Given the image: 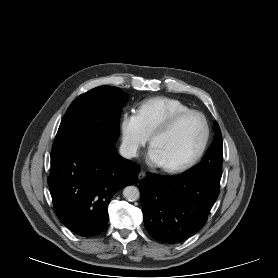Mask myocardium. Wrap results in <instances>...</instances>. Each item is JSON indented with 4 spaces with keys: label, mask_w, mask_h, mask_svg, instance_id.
I'll return each mask as SVG.
<instances>
[{
    "label": "myocardium",
    "mask_w": 278,
    "mask_h": 278,
    "mask_svg": "<svg viewBox=\"0 0 278 278\" xmlns=\"http://www.w3.org/2000/svg\"><path fill=\"white\" fill-rule=\"evenodd\" d=\"M191 115L197 116L202 120L203 127H204V135H203L202 142H201L198 150L187 160H185L179 164H175V165H163L162 167L166 172H169V173L183 172V171L191 168L193 165H195L200 160V158L203 156V154L208 146L209 140H210L211 130H210L209 122H208L206 116L202 112L193 110V109H189V110L181 111V112L174 114L168 120H166L164 123H162L157 128H155L153 130V132L151 133L150 143L152 145L153 141L155 140L156 137L170 132L177 126V124L182 119H184L187 116H191Z\"/></svg>",
    "instance_id": "f54148a6"
}]
</instances>
